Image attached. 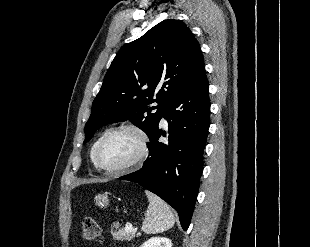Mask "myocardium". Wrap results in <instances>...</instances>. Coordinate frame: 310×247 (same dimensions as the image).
Segmentation results:
<instances>
[{
    "label": "myocardium",
    "mask_w": 310,
    "mask_h": 247,
    "mask_svg": "<svg viewBox=\"0 0 310 247\" xmlns=\"http://www.w3.org/2000/svg\"><path fill=\"white\" fill-rule=\"evenodd\" d=\"M120 131H130L132 133H134L139 141V149H138V153L136 154V156L129 161L128 163L116 167V168H108L105 167L99 160V154H100V150L102 148V146L104 145V143L114 134L120 132ZM149 151V138L147 133L145 132V130L143 128H141L140 126L133 124V123H123L120 124L112 129H110L109 131H107L103 137L100 139V141L98 142L95 152H94V163L95 165L100 168L101 170L105 171L107 174L110 175H119V174H123L125 172L130 171L133 168H136L137 166H139L144 159L146 158L147 154Z\"/></svg>",
    "instance_id": "1"
}]
</instances>
